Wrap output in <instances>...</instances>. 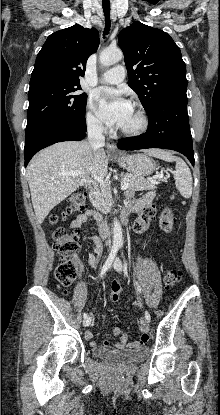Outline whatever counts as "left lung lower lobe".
I'll use <instances>...</instances> for the list:
<instances>
[{
    "mask_svg": "<svg viewBox=\"0 0 220 415\" xmlns=\"http://www.w3.org/2000/svg\"><path fill=\"white\" fill-rule=\"evenodd\" d=\"M186 93L160 98L148 112L147 132L118 141L122 150L163 148L184 154L194 166V151L187 113Z\"/></svg>",
    "mask_w": 220,
    "mask_h": 415,
    "instance_id": "0a47b994",
    "label": "left lung lower lobe"
}]
</instances>
